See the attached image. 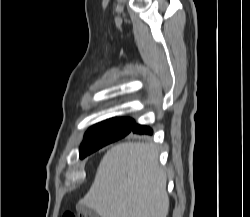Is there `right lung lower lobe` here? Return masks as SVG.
Segmentation results:
<instances>
[{
    "label": "right lung lower lobe",
    "instance_id": "1",
    "mask_svg": "<svg viewBox=\"0 0 250 217\" xmlns=\"http://www.w3.org/2000/svg\"><path fill=\"white\" fill-rule=\"evenodd\" d=\"M131 133L135 134H152V129L146 126H141L139 124H135Z\"/></svg>",
    "mask_w": 250,
    "mask_h": 217
}]
</instances>
